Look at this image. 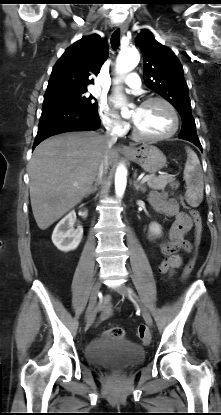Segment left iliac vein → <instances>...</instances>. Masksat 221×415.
I'll return each instance as SVG.
<instances>
[{
	"label": "left iliac vein",
	"instance_id": "left-iliac-vein-1",
	"mask_svg": "<svg viewBox=\"0 0 221 415\" xmlns=\"http://www.w3.org/2000/svg\"><path fill=\"white\" fill-rule=\"evenodd\" d=\"M116 291H117L119 294H121V295H123V296H126V297H128V298H130V299L134 300L135 302H137L136 297H135L133 294H131V292L129 291V289L127 288V286H126V285H124V284L119 285L118 287H116ZM140 308H141V311H142V316H143V318H144L145 323H146L148 326H152L153 321H152V317H151L150 313H149V312H148V310H147L145 307H143L142 305H140Z\"/></svg>",
	"mask_w": 221,
	"mask_h": 415
}]
</instances>
